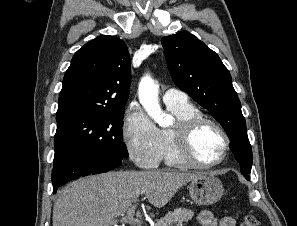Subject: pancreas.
<instances>
[{
  "mask_svg": "<svg viewBox=\"0 0 297 226\" xmlns=\"http://www.w3.org/2000/svg\"><path fill=\"white\" fill-rule=\"evenodd\" d=\"M193 215L192 210L177 208L168 212L164 218L157 220L155 226H182L183 223L192 219Z\"/></svg>",
  "mask_w": 297,
  "mask_h": 226,
  "instance_id": "1",
  "label": "pancreas"
}]
</instances>
